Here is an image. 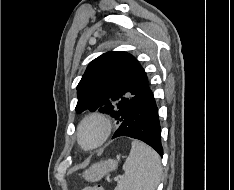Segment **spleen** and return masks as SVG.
<instances>
[{
    "label": "spleen",
    "instance_id": "obj_1",
    "mask_svg": "<svg viewBox=\"0 0 234 190\" xmlns=\"http://www.w3.org/2000/svg\"><path fill=\"white\" fill-rule=\"evenodd\" d=\"M123 170L124 176L115 190H156L162 175L158 153L141 141L134 140Z\"/></svg>",
    "mask_w": 234,
    "mask_h": 190
}]
</instances>
